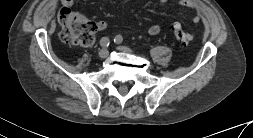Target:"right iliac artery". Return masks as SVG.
I'll use <instances>...</instances> for the list:
<instances>
[{"mask_svg": "<svg viewBox=\"0 0 253 138\" xmlns=\"http://www.w3.org/2000/svg\"><path fill=\"white\" fill-rule=\"evenodd\" d=\"M100 45L101 47L103 48H106L110 45V39L108 37H103L101 40H100Z\"/></svg>", "mask_w": 253, "mask_h": 138, "instance_id": "82829eb1", "label": "right iliac artery"}]
</instances>
